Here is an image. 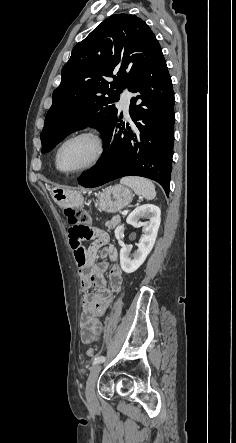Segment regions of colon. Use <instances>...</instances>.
Wrapping results in <instances>:
<instances>
[{
    "label": "colon",
    "instance_id": "1",
    "mask_svg": "<svg viewBox=\"0 0 236 443\" xmlns=\"http://www.w3.org/2000/svg\"><path fill=\"white\" fill-rule=\"evenodd\" d=\"M64 214L68 222L72 225L70 235L74 238L89 240L92 238L93 228L91 227V216L82 208H65ZM88 357L95 356V349L89 348L86 351Z\"/></svg>",
    "mask_w": 236,
    "mask_h": 443
}]
</instances>
